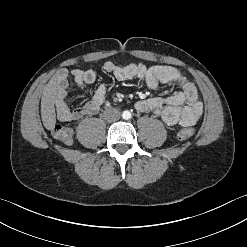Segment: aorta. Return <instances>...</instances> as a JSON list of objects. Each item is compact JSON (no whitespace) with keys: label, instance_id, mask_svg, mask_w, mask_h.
Returning a JSON list of instances; mask_svg holds the SVG:
<instances>
[{"label":"aorta","instance_id":"1","mask_svg":"<svg viewBox=\"0 0 247 247\" xmlns=\"http://www.w3.org/2000/svg\"><path fill=\"white\" fill-rule=\"evenodd\" d=\"M122 118L125 119V120H128L131 118V113L130 111L126 110V111H123L122 113Z\"/></svg>","mask_w":247,"mask_h":247}]
</instances>
